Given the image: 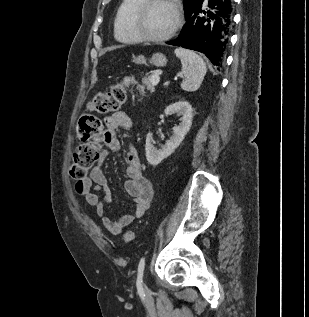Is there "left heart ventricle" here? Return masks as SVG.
I'll list each match as a JSON object with an SVG mask.
<instances>
[{"instance_id":"left-heart-ventricle-1","label":"left heart ventricle","mask_w":309,"mask_h":317,"mask_svg":"<svg viewBox=\"0 0 309 317\" xmlns=\"http://www.w3.org/2000/svg\"><path fill=\"white\" fill-rule=\"evenodd\" d=\"M176 21L173 7L167 3L153 5L145 14L142 22V30L152 36H161L169 32Z\"/></svg>"}]
</instances>
